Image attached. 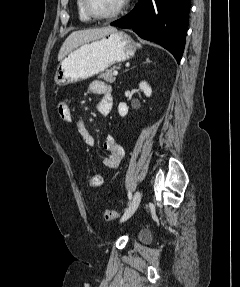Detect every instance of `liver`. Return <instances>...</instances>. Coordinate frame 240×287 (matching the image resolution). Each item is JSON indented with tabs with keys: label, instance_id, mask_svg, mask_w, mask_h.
Segmentation results:
<instances>
[{
	"label": "liver",
	"instance_id": "6515ba94",
	"mask_svg": "<svg viewBox=\"0 0 240 287\" xmlns=\"http://www.w3.org/2000/svg\"><path fill=\"white\" fill-rule=\"evenodd\" d=\"M116 31L115 27L107 26L101 28L85 29L72 32L62 44L59 53L58 61H62L63 58L76 47L90 42L92 40L99 39L111 32Z\"/></svg>",
	"mask_w": 240,
	"mask_h": 287
}]
</instances>
